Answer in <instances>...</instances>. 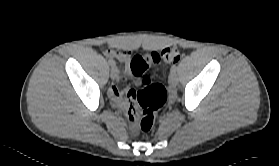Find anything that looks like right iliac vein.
<instances>
[{"label":"right iliac vein","mask_w":279,"mask_h":166,"mask_svg":"<svg viewBox=\"0 0 279 166\" xmlns=\"http://www.w3.org/2000/svg\"><path fill=\"white\" fill-rule=\"evenodd\" d=\"M110 76L114 80L118 77V70L116 67H112L110 71Z\"/></svg>","instance_id":"right-iliac-vein-1"}]
</instances>
